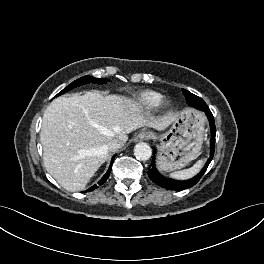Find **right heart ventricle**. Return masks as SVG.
<instances>
[{
    "label": "right heart ventricle",
    "mask_w": 264,
    "mask_h": 264,
    "mask_svg": "<svg viewBox=\"0 0 264 264\" xmlns=\"http://www.w3.org/2000/svg\"><path fill=\"white\" fill-rule=\"evenodd\" d=\"M162 100V95L153 90H145L135 98V105L141 109H152L158 106Z\"/></svg>",
    "instance_id": "e07e8e85"
}]
</instances>
